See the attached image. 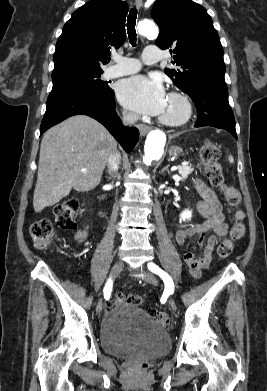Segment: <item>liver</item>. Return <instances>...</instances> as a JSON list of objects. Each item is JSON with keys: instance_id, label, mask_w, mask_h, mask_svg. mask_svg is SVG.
Instances as JSON below:
<instances>
[{"instance_id": "1", "label": "liver", "mask_w": 267, "mask_h": 391, "mask_svg": "<svg viewBox=\"0 0 267 391\" xmlns=\"http://www.w3.org/2000/svg\"><path fill=\"white\" fill-rule=\"evenodd\" d=\"M116 147L106 128L86 115L72 116L49 129L40 146L35 212L55 205L72 189L85 192L97 187Z\"/></svg>"}]
</instances>
